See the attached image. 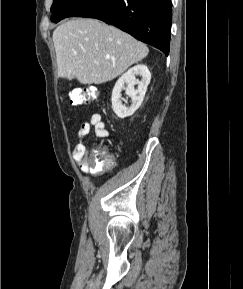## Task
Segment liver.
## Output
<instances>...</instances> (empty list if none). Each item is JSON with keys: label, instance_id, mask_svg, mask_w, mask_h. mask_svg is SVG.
I'll return each mask as SVG.
<instances>
[{"label": "liver", "instance_id": "liver-1", "mask_svg": "<svg viewBox=\"0 0 243 289\" xmlns=\"http://www.w3.org/2000/svg\"><path fill=\"white\" fill-rule=\"evenodd\" d=\"M58 76L81 84H102L147 56L145 44L99 20L77 18L53 32Z\"/></svg>", "mask_w": 243, "mask_h": 289}]
</instances>
